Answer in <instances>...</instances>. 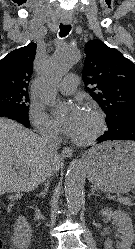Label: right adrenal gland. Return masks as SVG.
I'll list each match as a JSON object with an SVG mask.
<instances>
[{"label": "right adrenal gland", "mask_w": 135, "mask_h": 249, "mask_svg": "<svg viewBox=\"0 0 135 249\" xmlns=\"http://www.w3.org/2000/svg\"><path fill=\"white\" fill-rule=\"evenodd\" d=\"M49 186H50V181L47 180V182L45 183V188H44V190L40 193V196H42V197H45V196H46V194H47V192H48V190H49Z\"/></svg>", "instance_id": "2a0ac1e0"}]
</instances>
